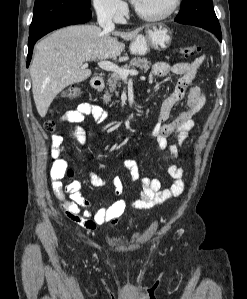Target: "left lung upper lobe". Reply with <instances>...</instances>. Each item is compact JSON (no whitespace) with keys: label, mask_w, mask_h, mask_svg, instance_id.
I'll return each instance as SVG.
<instances>
[{"label":"left lung upper lobe","mask_w":247,"mask_h":299,"mask_svg":"<svg viewBox=\"0 0 247 299\" xmlns=\"http://www.w3.org/2000/svg\"><path fill=\"white\" fill-rule=\"evenodd\" d=\"M186 18H202L219 25L212 0H182L181 10L175 20Z\"/></svg>","instance_id":"left-lung-upper-lobe-1"}]
</instances>
